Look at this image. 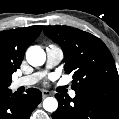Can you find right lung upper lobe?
I'll use <instances>...</instances> for the list:
<instances>
[{
	"mask_svg": "<svg viewBox=\"0 0 119 119\" xmlns=\"http://www.w3.org/2000/svg\"><path fill=\"white\" fill-rule=\"evenodd\" d=\"M41 33V26L0 32V89L10 85L12 74L20 67L26 49Z\"/></svg>",
	"mask_w": 119,
	"mask_h": 119,
	"instance_id": "right-lung-upper-lobe-1",
	"label": "right lung upper lobe"
}]
</instances>
